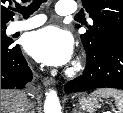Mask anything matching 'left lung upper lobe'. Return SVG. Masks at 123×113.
<instances>
[{"instance_id": "1", "label": "left lung upper lobe", "mask_w": 123, "mask_h": 113, "mask_svg": "<svg viewBox=\"0 0 123 113\" xmlns=\"http://www.w3.org/2000/svg\"><path fill=\"white\" fill-rule=\"evenodd\" d=\"M83 6L93 20L81 35L85 48L94 49L108 38L123 35V0H83Z\"/></svg>"}]
</instances>
